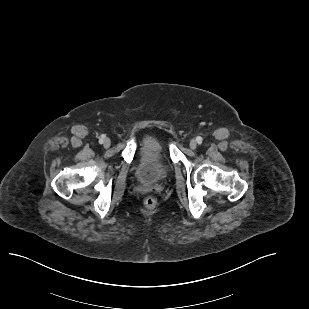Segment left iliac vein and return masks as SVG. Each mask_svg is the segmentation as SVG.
Listing matches in <instances>:
<instances>
[{
	"mask_svg": "<svg viewBox=\"0 0 309 309\" xmlns=\"http://www.w3.org/2000/svg\"><path fill=\"white\" fill-rule=\"evenodd\" d=\"M196 147H197V141L194 140V139L191 140L190 141V148L194 150V149H196Z\"/></svg>",
	"mask_w": 309,
	"mask_h": 309,
	"instance_id": "1",
	"label": "left iliac vein"
}]
</instances>
